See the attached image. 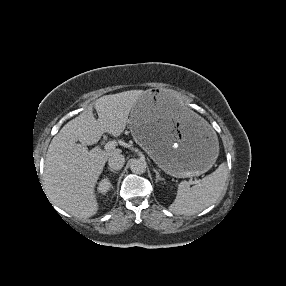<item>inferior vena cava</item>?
I'll list each match as a JSON object with an SVG mask.
<instances>
[{
	"label": "inferior vena cava",
	"mask_w": 286,
	"mask_h": 286,
	"mask_svg": "<svg viewBox=\"0 0 286 286\" xmlns=\"http://www.w3.org/2000/svg\"><path fill=\"white\" fill-rule=\"evenodd\" d=\"M125 158L120 153H114L111 157L108 159V165L111 169L119 170L124 166Z\"/></svg>",
	"instance_id": "inferior-vena-cava-1"
}]
</instances>
